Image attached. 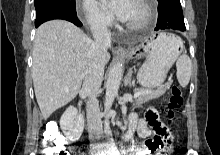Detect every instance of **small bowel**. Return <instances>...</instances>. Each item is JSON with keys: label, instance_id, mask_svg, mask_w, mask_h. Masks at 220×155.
Segmentation results:
<instances>
[{"label": "small bowel", "instance_id": "small-bowel-1", "mask_svg": "<svg viewBox=\"0 0 220 155\" xmlns=\"http://www.w3.org/2000/svg\"><path fill=\"white\" fill-rule=\"evenodd\" d=\"M159 124L163 126L170 134H172L171 130L169 129L168 126H166L164 123H162L159 119L158 113L154 108H149L147 111L145 118L143 119H138L135 115H132L129 119V128L126 133L127 137H130L132 133L136 130L139 137L143 139H147L152 131L155 133V125ZM149 140H146L145 142V147L147 148ZM157 153L156 155H158Z\"/></svg>", "mask_w": 220, "mask_h": 155}]
</instances>
